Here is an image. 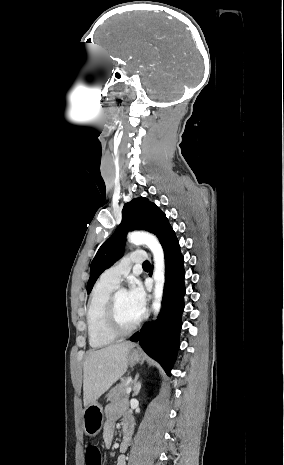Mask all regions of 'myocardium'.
I'll list each match as a JSON object with an SVG mask.
<instances>
[{"mask_svg": "<svg viewBox=\"0 0 284 465\" xmlns=\"http://www.w3.org/2000/svg\"><path fill=\"white\" fill-rule=\"evenodd\" d=\"M117 293L112 294L108 301L107 312H106V321H105V328L107 332L116 339H123L133 335L138 327L140 326L143 315L140 316L138 321L128 330H121L119 328V316H118V309H117V301H116Z\"/></svg>", "mask_w": 284, "mask_h": 465, "instance_id": "1", "label": "myocardium"}]
</instances>
